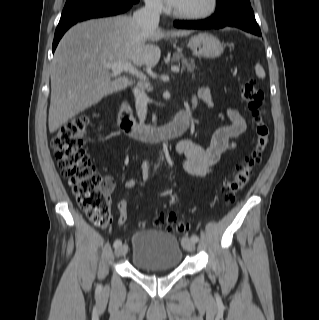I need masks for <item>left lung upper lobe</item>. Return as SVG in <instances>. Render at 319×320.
Masks as SVG:
<instances>
[{"instance_id": "left-lung-upper-lobe-1", "label": "left lung upper lobe", "mask_w": 319, "mask_h": 320, "mask_svg": "<svg viewBox=\"0 0 319 320\" xmlns=\"http://www.w3.org/2000/svg\"><path fill=\"white\" fill-rule=\"evenodd\" d=\"M250 4L249 0H217V7L218 9L222 8L223 6L230 5V4Z\"/></svg>"}]
</instances>
